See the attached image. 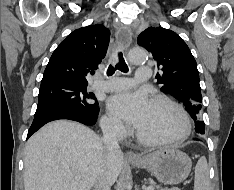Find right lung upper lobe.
Returning a JSON list of instances; mask_svg holds the SVG:
<instances>
[{"instance_id": "right-lung-upper-lobe-1", "label": "right lung upper lobe", "mask_w": 234, "mask_h": 190, "mask_svg": "<svg viewBox=\"0 0 234 190\" xmlns=\"http://www.w3.org/2000/svg\"><path fill=\"white\" fill-rule=\"evenodd\" d=\"M109 36L110 31L99 24L74 30L53 52L41 83L62 81L87 85V74L98 69L105 57Z\"/></svg>"}]
</instances>
